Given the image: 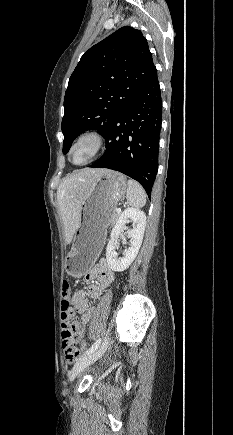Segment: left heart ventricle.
<instances>
[{
  "instance_id": "obj_1",
  "label": "left heart ventricle",
  "mask_w": 233,
  "mask_h": 435,
  "mask_svg": "<svg viewBox=\"0 0 233 435\" xmlns=\"http://www.w3.org/2000/svg\"><path fill=\"white\" fill-rule=\"evenodd\" d=\"M90 154V148L84 144L75 148L72 152L71 159L75 163L83 162Z\"/></svg>"
}]
</instances>
